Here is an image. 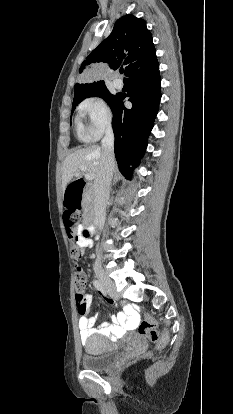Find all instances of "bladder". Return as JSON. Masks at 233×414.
<instances>
[{
  "label": "bladder",
  "mask_w": 233,
  "mask_h": 414,
  "mask_svg": "<svg viewBox=\"0 0 233 414\" xmlns=\"http://www.w3.org/2000/svg\"><path fill=\"white\" fill-rule=\"evenodd\" d=\"M120 358V352L104 337L97 336L88 341L81 365L89 371H105L112 368Z\"/></svg>",
  "instance_id": "obj_1"
}]
</instances>
